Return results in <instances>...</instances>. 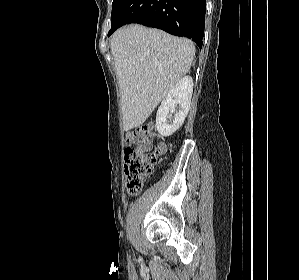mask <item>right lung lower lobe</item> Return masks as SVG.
<instances>
[{
  "instance_id": "98d812e1",
  "label": "right lung lower lobe",
  "mask_w": 299,
  "mask_h": 280,
  "mask_svg": "<svg viewBox=\"0 0 299 280\" xmlns=\"http://www.w3.org/2000/svg\"><path fill=\"white\" fill-rule=\"evenodd\" d=\"M205 10L206 0H125L108 36L125 24L139 23L190 38L201 48Z\"/></svg>"
}]
</instances>
